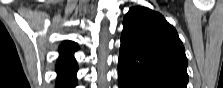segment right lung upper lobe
Wrapping results in <instances>:
<instances>
[{"instance_id":"cb5924a9","label":"right lung upper lobe","mask_w":223,"mask_h":88,"mask_svg":"<svg viewBox=\"0 0 223 88\" xmlns=\"http://www.w3.org/2000/svg\"><path fill=\"white\" fill-rule=\"evenodd\" d=\"M78 49L76 43L65 41L60 47V57L56 65V71L63 79L75 78L77 64L72 53ZM76 79V78H75Z\"/></svg>"}]
</instances>
